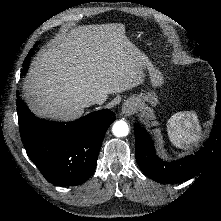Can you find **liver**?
I'll use <instances>...</instances> for the list:
<instances>
[{
    "label": "liver",
    "instance_id": "1",
    "mask_svg": "<svg viewBox=\"0 0 221 221\" xmlns=\"http://www.w3.org/2000/svg\"><path fill=\"white\" fill-rule=\"evenodd\" d=\"M147 58L121 23L83 25L56 37L31 63L23 90L38 116L68 121L86 100L129 90L142 82Z\"/></svg>",
    "mask_w": 221,
    "mask_h": 221
}]
</instances>
